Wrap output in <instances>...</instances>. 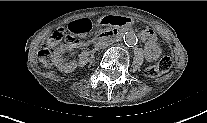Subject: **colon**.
Wrapping results in <instances>:
<instances>
[{
    "instance_id": "obj_1",
    "label": "colon",
    "mask_w": 207,
    "mask_h": 123,
    "mask_svg": "<svg viewBox=\"0 0 207 123\" xmlns=\"http://www.w3.org/2000/svg\"><path fill=\"white\" fill-rule=\"evenodd\" d=\"M64 37L69 40L72 39L71 35H64L63 32H57V33H55L53 38L46 44V46L43 47L38 52V55H39L41 61L45 65L51 64V58H50L51 48L54 46L55 43H57L59 40H61ZM172 64H173L172 58L170 56H164L156 64L147 67L145 70V75L148 78L158 77L162 74L167 73L171 69Z\"/></svg>"
}]
</instances>
